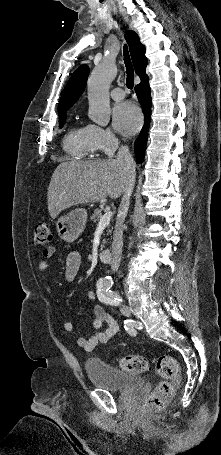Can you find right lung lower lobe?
<instances>
[{
	"label": "right lung lower lobe",
	"mask_w": 221,
	"mask_h": 455,
	"mask_svg": "<svg viewBox=\"0 0 221 455\" xmlns=\"http://www.w3.org/2000/svg\"><path fill=\"white\" fill-rule=\"evenodd\" d=\"M149 79L146 73L141 77V83L135 87L139 102L143 107L145 123L142 130L134 143L136 161L142 163L144 160L145 148L147 144L150 115H151V92L149 87Z\"/></svg>",
	"instance_id": "1"
}]
</instances>
